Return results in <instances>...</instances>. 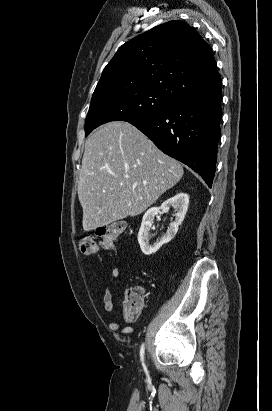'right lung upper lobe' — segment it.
<instances>
[{
	"instance_id": "1",
	"label": "right lung upper lobe",
	"mask_w": 272,
	"mask_h": 411,
	"mask_svg": "<svg viewBox=\"0 0 272 411\" xmlns=\"http://www.w3.org/2000/svg\"><path fill=\"white\" fill-rule=\"evenodd\" d=\"M221 83L209 44L183 21H170L122 45L94 93L134 87L173 93L177 100Z\"/></svg>"
}]
</instances>
